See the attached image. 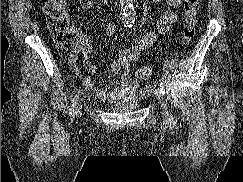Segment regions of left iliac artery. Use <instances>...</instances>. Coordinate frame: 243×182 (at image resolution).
Wrapping results in <instances>:
<instances>
[{"instance_id":"1","label":"left iliac artery","mask_w":243,"mask_h":182,"mask_svg":"<svg viewBox=\"0 0 243 182\" xmlns=\"http://www.w3.org/2000/svg\"><path fill=\"white\" fill-rule=\"evenodd\" d=\"M131 26H132V25H129V27H131ZM160 90H161L162 94L165 93V87H164V83H163L162 81L160 82ZM169 121H170V123H172V124L175 123V121H174V117H173V115H172L171 112H170V114H169Z\"/></svg>"}]
</instances>
